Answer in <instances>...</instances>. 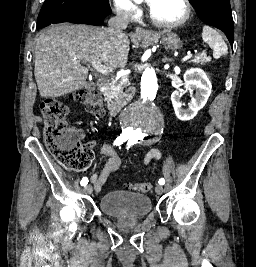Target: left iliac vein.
Masks as SVG:
<instances>
[{"label":"left iliac vein","mask_w":256,"mask_h":267,"mask_svg":"<svg viewBox=\"0 0 256 267\" xmlns=\"http://www.w3.org/2000/svg\"><path fill=\"white\" fill-rule=\"evenodd\" d=\"M155 191L158 195H161L164 192L163 186L161 184H157L155 187Z\"/></svg>","instance_id":"4c4485c4"}]
</instances>
